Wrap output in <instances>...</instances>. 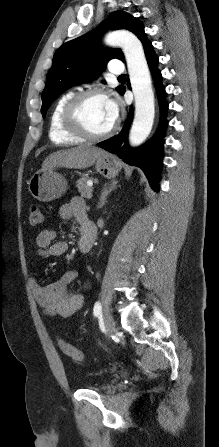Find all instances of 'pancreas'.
I'll list each match as a JSON object with an SVG mask.
<instances>
[{"mask_svg": "<svg viewBox=\"0 0 219 447\" xmlns=\"http://www.w3.org/2000/svg\"><path fill=\"white\" fill-rule=\"evenodd\" d=\"M92 180L88 176H84L77 180L76 187L78 188L79 193L82 197L87 198L89 194H92V187L87 185V181Z\"/></svg>", "mask_w": 219, "mask_h": 447, "instance_id": "1", "label": "pancreas"}]
</instances>
